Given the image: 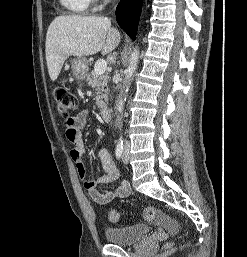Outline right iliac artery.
Here are the masks:
<instances>
[{
	"label": "right iliac artery",
	"mask_w": 247,
	"mask_h": 257,
	"mask_svg": "<svg viewBox=\"0 0 247 257\" xmlns=\"http://www.w3.org/2000/svg\"><path fill=\"white\" fill-rule=\"evenodd\" d=\"M122 154H123V141H119L115 150V155L117 159H121Z\"/></svg>",
	"instance_id": "right-iliac-artery-1"
}]
</instances>
